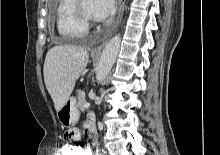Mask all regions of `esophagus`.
<instances>
[{
	"instance_id": "34e87169",
	"label": "esophagus",
	"mask_w": 220,
	"mask_h": 155,
	"mask_svg": "<svg viewBox=\"0 0 220 155\" xmlns=\"http://www.w3.org/2000/svg\"><path fill=\"white\" fill-rule=\"evenodd\" d=\"M119 4H120V8H119V14H118V18L115 24L114 29H116L121 21L122 15H123V11H124V4H125V0H119ZM107 41H105L104 43H102L100 46H97L93 49V53H100L102 51V49L104 48V46L106 45Z\"/></svg>"
}]
</instances>
